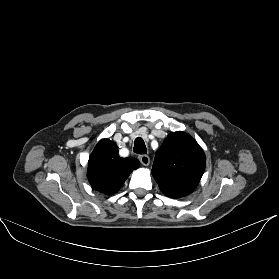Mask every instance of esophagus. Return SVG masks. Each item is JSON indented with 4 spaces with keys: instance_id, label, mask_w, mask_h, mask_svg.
Returning <instances> with one entry per match:
<instances>
[{
    "instance_id": "esophagus-1",
    "label": "esophagus",
    "mask_w": 279,
    "mask_h": 279,
    "mask_svg": "<svg viewBox=\"0 0 279 279\" xmlns=\"http://www.w3.org/2000/svg\"><path fill=\"white\" fill-rule=\"evenodd\" d=\"M139 160L143 166H148L150 164V158L147 155H141Z\"/></svg>"
}]
</instances>
